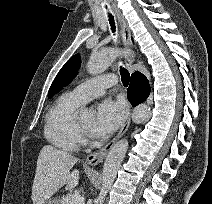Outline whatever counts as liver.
Masks as SVG:
<instances>
[{
    "instance_id": "liver-1",
    "label": "liver",
    "mask_w": 212,
    "mask_h": 204,
    "mask_svg": "<svg viewBox=\"0 0 212 204\" xmlns=\"http://www.w3.org/2000/svg\"><path fill=\"white\" fill-rule=\"evenodd\" d=\"M78 159L51 145H45L38 156L32 186L33 204H45L61 187L70 190L79 182V170H70Z\"/></svg>"
}]
</instances>
